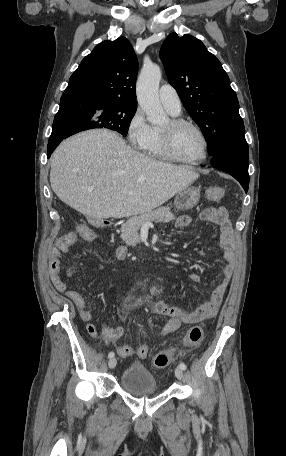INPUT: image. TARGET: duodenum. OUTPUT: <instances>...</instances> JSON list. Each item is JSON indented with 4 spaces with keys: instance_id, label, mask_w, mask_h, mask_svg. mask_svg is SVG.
I'll return each instance as SVG.
<instances>
[{
    "instance_id": "obj_1",
    "label": "duodenum",
    "mask_w": 286,
    "mask_h": 456,
    "mask_svg": "<svg viewBox=\"0 0 286 456\" xmlns=\"http://www.w3.org/2000/svg\"><path fill=\"white\" fill-rule=\"evenodd\" d=\"M97 221L101 226H106L108 224L106 219L99 218V219H97Z\"/></svg>"
}]
</instances>
